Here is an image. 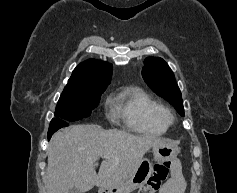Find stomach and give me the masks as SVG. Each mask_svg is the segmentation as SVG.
Listing matches in <instances>:
<instances>
[{
	"instance_id": "obj_1",
	"label": "stomach",
	"mask_w": 237,
	"mask_h": 193,
	"mask_svg": "<svg viewBox=\"0 0 237 193\" xmlns=\"http://www.w3.org/2000/svg\"><path fill=\"white\" fill-rule=\"evenodd\" d=\"M179 148L172 142L164 141L152 148L154 160L165 162L176 158ZM153 172V164L149 159H142L137 168L125 179L110 186L100 187L98 193H130L143 187Z\"/></svg>"
}]
</instances>
